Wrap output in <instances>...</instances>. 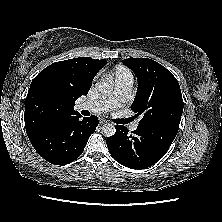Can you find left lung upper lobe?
Instances as JSON below:
<instances>
[{"mask_svg":"<svg viewBox=\"0 0 222 222\" xmlns=\"http://www.w3.org/2000/svg\"><path fill=\"white\" fill-rule=\"evenodd\" d=\"M137 76L138 89L131 109L142 116L140 126L170 125L179 128L183 99L177 79L159 63L147 58L123 60Z\"/></svg>","mask_w":222,"mask_h":222,"instance_id":"left-lung-upper-lobe-1","label":"left lung upper lobe"}]
</instances>
